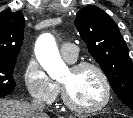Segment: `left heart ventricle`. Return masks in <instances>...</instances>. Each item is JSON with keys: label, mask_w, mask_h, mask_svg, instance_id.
<instances>
[{"label": "left heart ventricle", "mask_w": 133, "mask_h": 118, "mask_svg": "<svg viewBox=\"0 0 133 118\" xmlns=\"http://www.w3.org/2000/svg\"><path fill=\"white\" fill-rule=\"evenodd\" d=\"M73 102L83 107L99 104L105 95L103 83L99 75L90 68L78 72L70 68L61 78Z\"/></svg>", "instance_id": "b2bd125f"}]
</instances>
